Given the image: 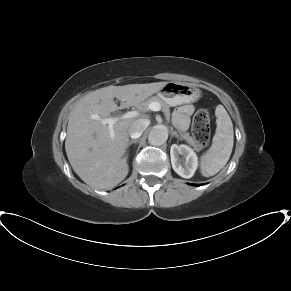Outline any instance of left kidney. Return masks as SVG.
Listing matches in <instances>:
<instances>
[{"instance_id":"left-kidney-1","label":"left kidney","mask_w":291,"mask_h":291,"mask_svg":"<svg viewBox=\"0 0 291 291\" xmlns=\"http://www.w3.org/2000/svg\"><path fill=\"white\" fill-rule=\"evenodd\" d=\"M170 157L173 170L179 176L188 179L194 175L198 166V158L192 148L184 144H173L170 149Z\"/></svg>"}]
</instances>
